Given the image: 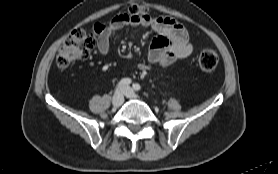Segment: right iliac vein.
Wrapping results in <instances>:
<instances>
[{
	"label": "right iliac vein",
	"instance_id": "1",
	"mask_svg": "<svg viewBox=\"0 0 278 174\" xmlns=\"http://www.w3.org/2000/svg\"><path fill=\"white\" fill-rule=\"evenodd\" d=\"M124 102V96H123V92L121 91H117L113 98H112V104L114 107H119L123 104Z\"/></svg>",
	"mask_w": 278,
	"mask_h": 174
}]
</instances>
